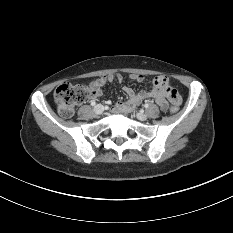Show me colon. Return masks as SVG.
I'll return each mask as SVG.
<instances>
[{
    "instance_id": "obj_1",
    "label": "colon",
    "mask_w": 233,
    "mask_h": 233,
    "mask_svg": "<svg viewBox=\"0 0 233 233\" xmlns=\"http://www.w3.org/2000/svg\"><path fill=\"white\" fill-rule=\"evenodd\" d=\"M89 92V86L84 84L72 85L65 83L58 86L54 93V99L60 115L65 118L71 117L74 114L75 108L85 101ZM169 92L176 93V98L172 99V105L170 108L172 113H176L179 110L180 95L175 89H171Z\"/></svg>"
}]
</instances>
